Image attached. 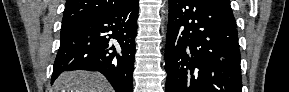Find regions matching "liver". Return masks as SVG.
Masks as SVG:
<instances>
[{
	"instance_id": "obj_1",
	"label": "liver",
	"mask_w": 289,
	"mask_h": 92,
	"mask_svg": "<svg viewBox=\"0 0 289 92\" xmlns=\"http://www.w3.org/2000/svg\"><path fill=\"white\" fill-rule=\"evenodd\" d=\"M54 92H112L106 78L90 71H69L62 73L54 82Z\"/></svg>"
}]
</instances>
